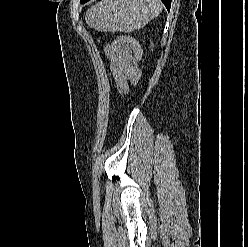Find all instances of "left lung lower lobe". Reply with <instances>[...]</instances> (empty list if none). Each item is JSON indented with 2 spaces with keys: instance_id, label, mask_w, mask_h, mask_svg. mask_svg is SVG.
Listing matches in <instances>:
<instances>
[{
  "instance_id": "1",
  "label": "left lung lower lobe",
  "mask_w": 248,
  "mask_h": 247,
  "mask_svg": "<svg viewBox=\"0 0 248 247\" xmlns=\"http://www.w3.org/2000/svg\"><path fill=\"white\" fill-rule=\"evenodd\" d=\"M89 0H81V3H86ZM166 8L169 10L171 6V0H161Z\"/></svg>"
}]
</instances>
